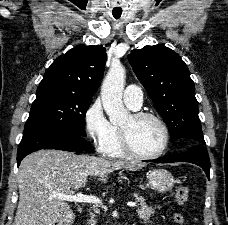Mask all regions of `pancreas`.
I'll use <instances>...</instances> for the list:
<instances>
[{"label": "pancreas", "mask_w": 228, "mask_h": 225, "mask_svg": "<svg viewBox=\"0 0 228 225\" xmlns=\"http://www.w3.org/2000/svg\"><path fill=\"white\" fill-rule=\"evenodd\" d=\"M136 203H140V207L139 209H137L139 219H143V221H148V223H152V221H149V219L151 215H154L155 209H152V207H148L143 197H136Z\"/></svg>", "instance_id": "cf45deb5"}]
</instances>
